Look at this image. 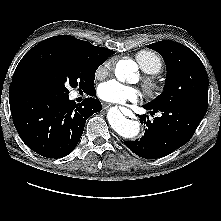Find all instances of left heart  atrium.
<instances>
[{
  "instance_id": "39dd6f15",
  "label": "left heart atrium",
  "mask_w": 221,
  "mask_h": 221,
  "mask_svg": "<svg viewBox=\"0 0 221 221\" xmlns=\"http://www.w3.org/2000/svg\"><path fill=\"white\" fill-rule=\"evenodd\" d=\"M141 95L142 93L138 88L125 85L114 79L102 83L98 88L100 99L116 104L137 102Z\"/></svg>"
}]
</instances>
